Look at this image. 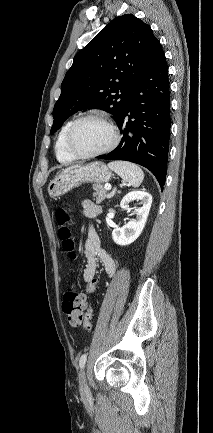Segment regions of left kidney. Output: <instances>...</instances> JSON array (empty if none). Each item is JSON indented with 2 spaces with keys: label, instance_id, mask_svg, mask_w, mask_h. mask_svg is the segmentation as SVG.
Returning a JSON list of instances; mask_svg holds the SVG:
<instances>
[{
  "label": "left kidney",
  "instance_id": "1",
  "mask_svg": "<svg viewBox=\"0 0 213 433\" xmlns=\"http://www.w3.org/2000/svg\"><path fill=\"white\" fill-rule=\"evenodd\" d=\"M134 200L141 201V207L134 210L131 215L136 214L135 220H130L122 228H115L112 231L113 241L121 246L133 243L142 233L152 204V196L145 191H131L124 196L120 207L127 212L128 204Z\"/></svg>",
  "mask_w": 213,
  "mask_h": 433
}]
</instances>
